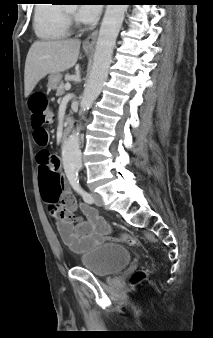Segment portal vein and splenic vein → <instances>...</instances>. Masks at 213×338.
<instances>
[{
    "instance_id": "18ae733b",
    "label": "portal vein and splenic vein",
    "mask_w": 213,
    "mask_h": 338,
    "mask_svg": "<svg viewBox=\"0 0 213 338\" xmlns=\"http://www.w3.org/2000/svg\"><path fill=\"white\" fill-rule=\"evenodd\" d=\"M71 88V84L70 83H67L66 85H65V89L66 90H69Z\"/></svg>"
}]
</instances>
